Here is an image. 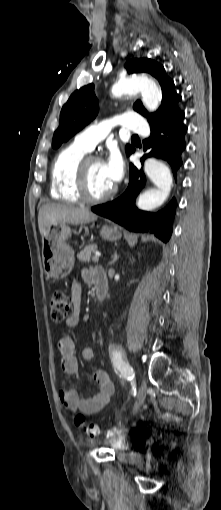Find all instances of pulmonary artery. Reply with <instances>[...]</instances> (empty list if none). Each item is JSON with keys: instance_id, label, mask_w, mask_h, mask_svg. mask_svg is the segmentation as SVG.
Segmentation results:
<instances>
[{"instance_id": "e3ab8cb5", "label": "pulmonary artery", "mask_w": 221, "mask_h": 510, "mask_svg": "<svg viewBox=\"0 0 221 510\" xmlns=\"http://www.w3.org/2000/svg\"><path fill=\"white\" fill-rule=\"evenodd\" d=\"M116 123L126 130H131L142 135L148 134V124L138 113H124ZM111 127L112 123L110 120H104L100 123L93 124L78 133L75 137V142L88 151H91L107 136Z\"/></svg>"}]
</instances>
